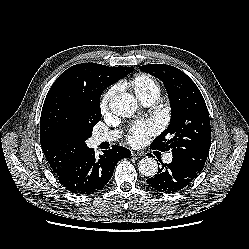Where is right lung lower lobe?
<instances>
[{
  "label": "right lung lower lobe",
  "instance_id": "right-lung-lower-lobe-1",
  "mask_svg": "<svg viewBox=\"0 0 249 249\" xmlns=\"http://www.w3.org/2000/svg\"><path fill=\"white\" fill-rule=\"evenodd\" d=\"M103 153L95 157L93 149L87 147L68 168L57 175L59 182L78 195L98 192L111 179L117 162L131 156L127 148L118 145Z\"/></svg>",
  "mask_w": 249,
  "mask_h": 249
}]
</instances>
